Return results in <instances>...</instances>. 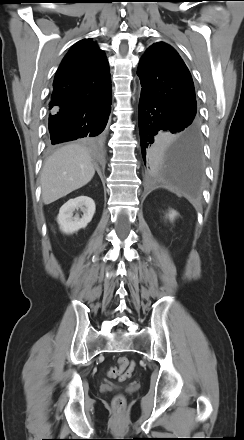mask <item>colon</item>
Here are the masks:
<instances>
[{"label":"colon","instance_id":"obj_1","mask_svg":"<svg viewBox=\"0 0 244 440\" xmlns=\"http://www.w3.org/2000/svg\"><path fill=\"white\" fill-rule=\"evenodd\" d=\"M135 363L130 361L126 357H120L117 361V365L111 367L108 370V375L112 378H120L121 380L127 379L133 372ZM113 405L116 408H122L125 405V397L118 394L113 399Z\"/></svg>","mask_w":244,"mask_h":440}]
</instances>
